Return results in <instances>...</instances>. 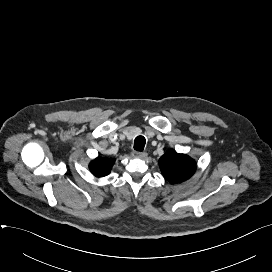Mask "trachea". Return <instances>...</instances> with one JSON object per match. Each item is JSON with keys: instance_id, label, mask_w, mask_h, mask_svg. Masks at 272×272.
<instances>
[{"instance_id": "3493384b", "label": "trachea", "mask_w": 272, "mask_h": 272, "mask_svg": "<svg viewBox=\"0 0 272 272\" xmlns=\"http://www.w3.org/2000/svg\"><path fill=\"white\" fill-rule=\"evenodd\" d=\"M146 139L143 136H138L134 140V149L136 151H143L145 147Z\"/></svg>"}]
</instances>
